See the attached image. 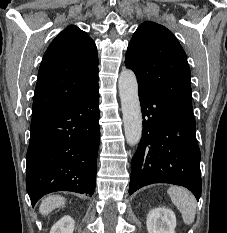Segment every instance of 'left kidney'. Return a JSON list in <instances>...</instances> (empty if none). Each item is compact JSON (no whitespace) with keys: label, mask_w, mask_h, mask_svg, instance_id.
<instances>
[{"label":"left kidney","mask_w":227,"mask_h":233,"mask_svg":"<svg viewBox=\"0 0 227 233\" xmlns=\"http://www.w3.org/2000/svg\"><path fill=\"white\" fill-rule=\"evenodd\" d=\"M148 233H175L176 216L169 208L152 209L146 220Z\"/></svg>","instance_id":"obj_1"}]
</instances>
